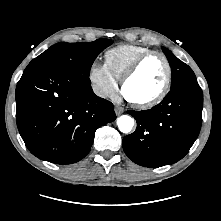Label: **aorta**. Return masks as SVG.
I'll return each instance as SVG.
<instances>
[{
    "mask_svg": "<svg viewBox=\"0 0 221 221\" xmlns=\"http://www.w3.org/2000/svg\"><path fill=\"white\" fill-rule=\"evenodd\" d=\"M118 128L123 133H129L134 126V119L128 115H122L117 120Z\"/></svg>",
    "mask_w": 221,
    "mask_h": 221,
    "instance_id": "1",
    "label": "aorta"
}]
</instances>
